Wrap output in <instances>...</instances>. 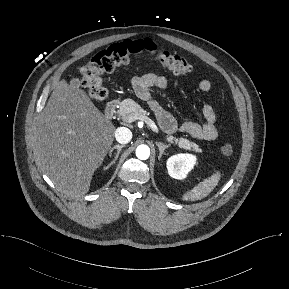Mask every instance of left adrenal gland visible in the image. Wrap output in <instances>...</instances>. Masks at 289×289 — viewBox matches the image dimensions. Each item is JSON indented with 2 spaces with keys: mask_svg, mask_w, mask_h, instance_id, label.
<instances>
[{
  "mask_svg": "<svg viewBox=\"0 0 289 289\" xmlns=\"http://www.w3.org/2000/svg\"><path fill=\"white\" fill-rule=\"evenodd\" d=\"M156 145L158 146L159 148V156H158V159L160 160L162 155L164 154V150L169 148V145H165L161 142H157Z\"/></svg>",
  "mask_w": 289,
  "mask_h": 289,
  "instance_id": "obj_1",
  "label": "left adrenal gland"
}]
</instances>
